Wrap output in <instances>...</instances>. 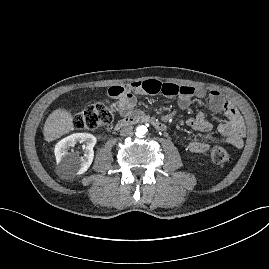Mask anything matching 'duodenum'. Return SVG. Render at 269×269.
<instances>
[{"label": "duodenum", "instance_id": "duodenum-1", "mask_svg": "<svg viewBox=\"0 0 269 269\" xmlns=\"http://www.w3.org/2000/svg\"><path fill=\"white\" fill-rule=\"evenodd\" d=\"M140 123H150L159 131H164L166 129V126L162 122L146 115H132V116L123 118L116 123L115 129L119 130L123 127L140 124Z\"/></svg>", "mask_w": 269, "mask_h": 269}]
</instances>
